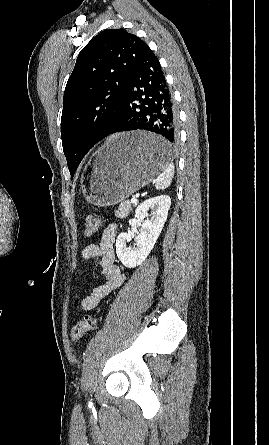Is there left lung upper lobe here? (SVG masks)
<instances>
[{
  "label": "left lung upper lobe",
  "mask_w": 269,
  "mask_h": 445,
  "mask_svg": "<svg viewBox=\"0 0 269 445\" xmlns=\"http://www.w3.org/2000/svg\"><path fill=\"white\" fill-rule=\"evenodd\" d=\"M147 47L125 29H111L93 37L79 53L66 84L61 116L62 146L71 177L119 118L128 81Z\"/></svg>",
  "instance_id": "5c2ea615"
}]
</instances>
